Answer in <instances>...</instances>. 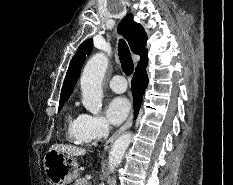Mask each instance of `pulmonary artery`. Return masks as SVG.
Returning <instances> with one entry per match:
<instances>
[{"label": "pulmonary artery", "mask_w": 233, "mask_h": 185, "mask_svg": "<svg viewBox=\"0 0 233 185\" xmlns=\"http://www.w3.org/2000/svg\"><path fill=\"white\" fill-rule=\"evenodd\" d=\"M109 86L113 91H115L117 93H122L127 88L126 81H125L124 77H122L120 75L113 76L109 80Z\"/></svg>", "instance_id": "1"}]
</instances>
